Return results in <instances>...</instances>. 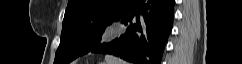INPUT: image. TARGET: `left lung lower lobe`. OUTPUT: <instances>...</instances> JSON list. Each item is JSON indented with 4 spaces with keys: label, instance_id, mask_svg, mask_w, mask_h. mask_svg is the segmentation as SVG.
Wrapping results in <instances>:
<instances>
[{
    "label": "left lung lower lobe",
    "instance_id": "0a47b994",
    "mask_svg": "<svg viewBox=\"0 0 242 64\" xmlns=\"http://www.w3.org/2000/svg\"><path fill=\"white\" fill-rule=\"evenodd\" d=\"M175 0H133L115 22L125 27L118 38L89 52L111 54L136 64H161L172 30Z\"/></svg>",
    "mask_w": 242,
    "mask_h": 64
}]
</instances>
